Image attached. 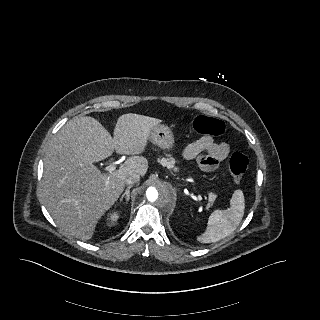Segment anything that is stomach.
Returning a JSON list of instances; mask_svg holds the SVG:
<instances>
[{
  "label": "stomach",
  "instance_id": "1",
  "mask_svg": "<svg viewBox=\"0 0 320 320\" xmlns=\"http://www.w3.org/2000/svg\"><path fill=\"white\" fill-rule=\"evenodd\" d=\"M149 140L163 150L170 151L174 147V136L168 126L157 124L149 134Z\"/></svg>",
  "mask_w": 320,
  "mask_h": 320
}]
</instances>
